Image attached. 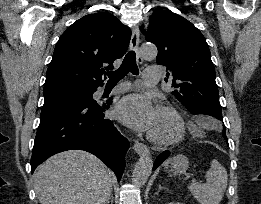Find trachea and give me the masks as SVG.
<instances>
[{"instance_id": "3493384b", "label": "trachea", "mask_w": 261, "mask_h": 204, "mask_svg": "<svg viewBox=\"0 0 261 204\" xmlns=\"http://www.w3.org/2000/svg\"><path fill=\"white\" fill-rule=\"evenodd\" d=\"M129 72H131L134 75L139 74V69L136 64V54L134 51H130L127 53L121 66L117 70L107 72V76L109 78L108 84L118 83Z\"/></svg>"}]
</instances>
